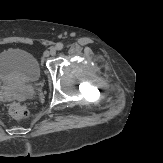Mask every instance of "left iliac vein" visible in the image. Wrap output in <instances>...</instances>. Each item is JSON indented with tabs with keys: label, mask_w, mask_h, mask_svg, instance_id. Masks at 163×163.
I'll return each instance as SVG.
<instances>
[{
	"label": "left iliac vein",
	"mask_w": 163,
	"mask_h": 163,
	"mask_svg": "<svg viewBox=\"0 0 163 163\" xmlns=\"http://www.w3.org/2000/svg\"><path fill=\"white\" fill-rule=\"evenodd\" d=\"M56 54V48H51V50H50V55L51 56H54Z\"/></svg>",
	"instance_id": "obj_1"
}]
</instances>
